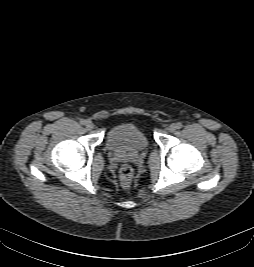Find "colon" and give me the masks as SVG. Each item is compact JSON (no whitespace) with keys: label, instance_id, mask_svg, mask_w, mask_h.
<instances>
[{"label":"colon","instance_id":"1","mask_svg":"<svg viewBox=\"0 0 254 267\" xmlns=\"http://www.w3.org/2000/svg\"><path fill=\"white\" fill-rule=\"evenodd\" d=\"M133 177V169L129 165H124L120 169V180L124 186H128Z\"/></svg>","mask_w":254,"mask_h":267}]
</instances>
